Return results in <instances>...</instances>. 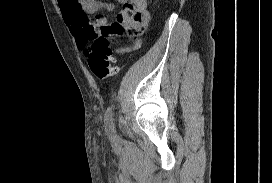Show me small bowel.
Masks as SVG:
<instances>
[{"instance_id":"small-bowel-1","label":"small bowel","mask_w":272,"mask_h":183,"mask_svg":"<svg viewBox=\"0 0 272 183\" xmlns=\"http://www.w3.org/2000/svg\"><path fill=\"white\" fill-rule=\"evenodd\" d=\"M116 1L123 5V9L117 14L113 22L119 25H110L108 19L102 15H96L94 19L89 18V15L97 14L101 10L113 9L111 4L98 0H58L64 14L65 23L75 37L79 48L85 47L99 34H107L111 39H120L119 41L122 43L124 36L128 39L131 36H141L146 30L149 22L147 0ZM140 45V40H136L134 45L126 50L138 49Z\"/></svg>"}]
</instances>
